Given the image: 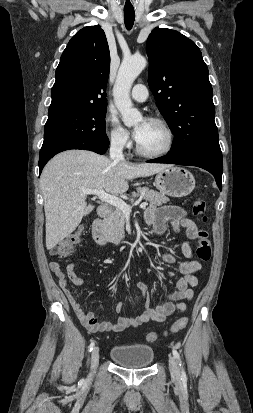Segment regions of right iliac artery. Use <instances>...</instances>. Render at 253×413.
<instances>
[{
    "mask_svg": "<svg viewBox=\"0 0 253 413\" xmlns=\"http://www.w3.org/2000/svg\"><path fill=\"white\" fill-rule=\"evenodd\" d=\"M94 345H95L94 342H92V343L89 345V351H90V352L93 350Z\"/></svg>",
    "mask_w": 253,
    "mask_h": 413,
    "instance_id": "obj_1",
    "label": "right iliac artery"
}]
</instances>
